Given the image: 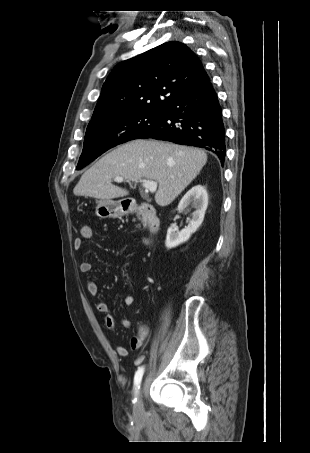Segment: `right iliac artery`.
I'll return each instance as SVG.
<instances>
[{
    "label": "right iliac artery",
    "instance_id": "82829eb1",
    "mask_svg": "<svg viewBox=\"0 0 310 453\" xmlns=\"http://www.w3.org/2000/svg\"><path fill=\"white\" fill-rule=\"evenodd\" d=\"M143 373H144V367H139L135 373V377H134L135 393H137L138 389L140 388V383L142 380ZM135 401H136V399H134V402Z\"/></svg>",
    "mask_w": 310,
    "mask_h": 453
}]
</instances>
